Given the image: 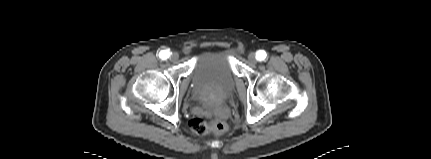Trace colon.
I'll return each instance as SVG.
<instances>
[{
	"label": "colon",
	"instance_id": "colon-1",
	"mask_svg": "<svg viewBox=\"0 0 431 159\" xmlns=\"http://www.w3.org/2000/svg\"><path fill=\"white\" fill-rule=\"evenodd\" d=\"M191 130L198 135L215 134L221 135L226 132L227 125L218 118L207 121L202 117H194L190 123Z\"/></svg>",
	"mask_w": 431,
	"mask_h": 159
}]
</instances>
